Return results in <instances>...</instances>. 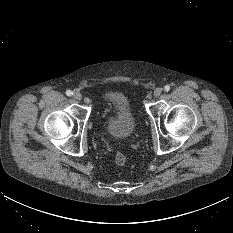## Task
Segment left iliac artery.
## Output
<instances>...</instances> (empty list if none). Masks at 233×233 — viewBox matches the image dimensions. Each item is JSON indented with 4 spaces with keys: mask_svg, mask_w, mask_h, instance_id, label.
<instances>
[{
    "mask_svg": "<svg viewBox=\"0 0 233 233\" xmlns=\"http://www.w3.org/2000/svg\"><path fill=\"white\" fill-rule=\"evenodd\" d=\"M170 90V86L169 85H166L165 87H164V91L165 92H168Z\"/></svg>",
    "mask_w": 233,
    "mask_h": 233,
    "instance_id": "left-iliac-artery-1",
    "label": "left iliac artery"
}]
</instances>
